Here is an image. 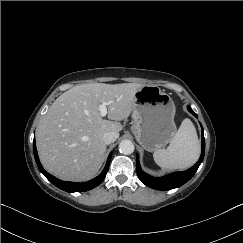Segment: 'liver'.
Segmentation results:
<instances>
[{
    "label": "liver",
    "instance_id": "6515ba94",
    "mask_svg": "<svg viewBox=\"0 0 243 243\" xmlns=\"http://www.w3.org/2000/svg\"><path fill=\"white\" fill-rule=\"evenodd\" d=\"M136 83L77 85L61 94L42 117L36 144L43 167L67 181H85L97 174L103 163L105 132L117 138L135 104ZM107 102L108 119L99 105ZM114 120V121H111Z\"/></svg>",
    "mask_w": 243,
    "mask_h": 243
}]
</instances>
